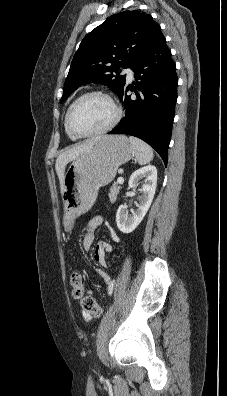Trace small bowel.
I'll list each match as a JSON object with an SVG mask.
<instances>
[{"instance_id": "1", "label": "small bowel", "mask_w": 227, "mask_h": 396, "mask_svg": "<svg viewBox=\"0 0 227 396\" xmlns=\"http://www.w3.org/2000/svg\"><path fill=\"white\" fill-rule=\"evenodd\" d=\"M103 224L108 226L111 239L114 242L120 241V237L117 234V232L108 225V223L104 220V218L102 216H96L93 219H91L86 225L85 233L82 239V245L85 250H89L92 247L94 243V231ZM111 249L112 247L109 243L99 242L94 249V261L99 266L105 267L106 266L105 253L111 251ZM95 274L106 285L108 293H111L113 291L114 284L110 276L101 269H97L95 271ZM89 293L91 292L89 291ZM82 315L87 321L91 319V314L85 311L82 312Z\"/></svg>"}]
</instances>
